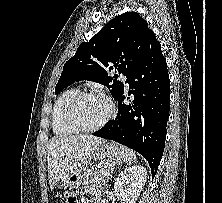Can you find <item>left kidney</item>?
Instances as JSON below:
<instances>
[{
	"mask_svg": "<svg viewBox=\"0 0 222 203\" xmlns=\"http://www.w3.org/2000/svg\"><path fill=\"white\" fill-rule=\"evenodd\" d=\"M147 170L143 166L134 165L119 173L114 183V190L123 198V203H135L146 182Z\"/></svg>",
	"mask_w": 222,
	"mask_h": 203,
	"instance_id": "obj_1",
	"label": "left kidney"
}]
</instances>
